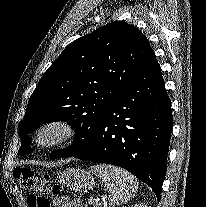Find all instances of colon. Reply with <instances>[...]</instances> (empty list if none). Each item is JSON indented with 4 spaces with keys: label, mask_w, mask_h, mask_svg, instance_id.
Wrapping results in <instances>:
<instances>
[{
    "label": "colon",
    "mask_w": 206,
    "mask_h": 207,
    "mask_svg": "<svg viewBox=\"0 0 206 207\" xmlns=\"http://www.w3.org/2000/svg\"><path fill=\"white\" fill-rule=\"evenodd\" d=\"M20 187L27 194L29 207H51L46 195H57L61 186L52 181L48 174H41L26 167L15 169Z\"/></svg>",
    "instance_id": "obj_1"
}]
</instances>
